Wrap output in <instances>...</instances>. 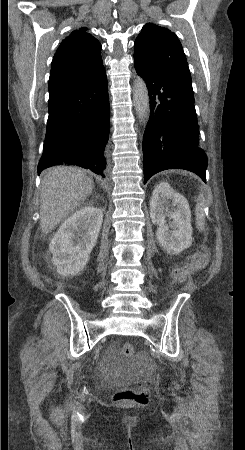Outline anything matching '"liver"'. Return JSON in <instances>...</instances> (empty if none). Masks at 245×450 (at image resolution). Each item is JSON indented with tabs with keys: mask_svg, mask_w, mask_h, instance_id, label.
<instances>
[{
	"mask_svg": "<svg viewBox=\"0 0 245 450\" xmlns=\"http://www.w3.org/2000/svg\"><path fill=\"white\" fill-rule=\"evenodd\" d=\"M93 180L74 167L57 166L43 173L40 188V229L51 232L93 191Z\"/></svg>",
	"mask_w": 245,
	"mask_h": 450,
	"instance_id": "1",
	"label": "liver"
}]
</instances>
